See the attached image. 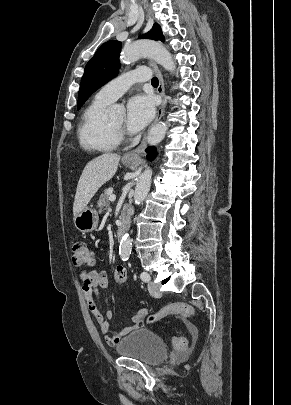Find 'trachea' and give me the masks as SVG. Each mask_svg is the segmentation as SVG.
Here are the masks:
<instances>
[{
	"mask_svg": "<svg viewBox=\"0 0 291 405\" xmlns=\"http://www.w3.org/2000/svg\"><path fill=\"white\" fill-rule=\"evenodd\" d=\"M151 84L154 85V86H158V84H159L158 78L153 77L152 80H151Z\"/></svg>",
	"mask_w": 291,
	"mask_h": 405,
	"instance_id": "3493384b",
	"label": "trachea"
}]
</instances>
